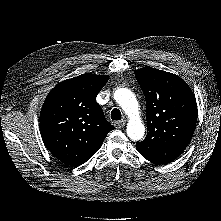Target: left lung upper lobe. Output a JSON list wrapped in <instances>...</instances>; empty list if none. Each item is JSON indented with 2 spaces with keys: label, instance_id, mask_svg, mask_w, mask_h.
<instances>
[{
  "label": "left lung upper lobe",
  "instance_id": "left-lung-upper-lobe-1",
  "mask_svg": "<svg viewBox=\"0 0 221 221\" xmlns=\"http://www.w3.org/2000/svg\"><path fill=\"white\" fill-rule=\"evenodd\" d=\"M134 74L147 105V136L136 144V149L152 163L168 164L192 139L197 122L195 96L175 74L151 67L138 69Z\"/></svg>",
  "mask_w": 221,
  "mask_h": 221
}]
</instances>
